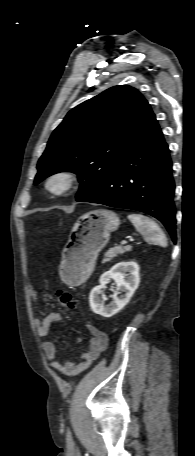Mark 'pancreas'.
<instances>
[{"mask_svg":"<svg viewBox=\"0 0 195 456\" xmlns=\"http://www.w3.org/2000/svg\"><path fill=\"white\" fill-rule=\"evenodd\" d=\"M130 250V247L129 246H116V247H113V248H110L106 254H105V257L103 259V263H106V262H109L111 261L114 257L118 256L119 254H123L125 253L126 251H129Z\"/></svg>","mask_w":195,"mask_h":456,"instance_id":"obj_1","label":"pancreas"}]
</instances>
